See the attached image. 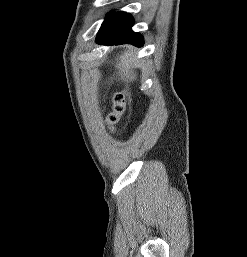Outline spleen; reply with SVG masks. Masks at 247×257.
<instances>
[{
  "label": "spleen",
  "mask_w": 247,
  "mask_h": 257,
  "mask_svg": "<svg viewBox=\"0 0 247 257\" xmlns=\"http://www.w3.org/2000/svg\"><path fill=\"white\" fill-rule=\"evenodd\" d=\"M126 62V61H125ZM128 64H126V68L124 67V69H122L121 70V78H124V77H126V78H129L130 77V79H132L133 78V76H131L130 74H131V71L129 72V70H128ZM126 80V79H125Z\"/></svg>",
  "instance_id": "obj_1"
}]
</instances>
